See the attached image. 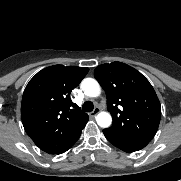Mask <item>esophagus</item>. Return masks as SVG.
<instances>
[{
  "label": "esophagus",
  "instance_id": "1",
  "mask_svg": "<svg viewBox=\"0 0 181 181\" xmlns=\"http://www.w3.org/2000/svg\"><path fill=\"white\" fill-rule=\"evenodd\" d=\"M99 108L97 107V108H95L89 115H90V117L91 118H93V117H95L96 116V114L99 112Z\"/></svg>",
  "mask_w": 181,
  "mask_h": 181
}]
</instances>
